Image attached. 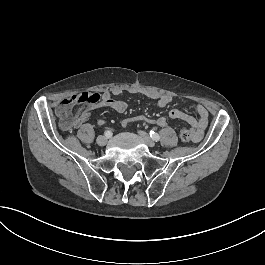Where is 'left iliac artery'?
<instances>
[{
	"mask_svg": "<svg viewBox=\"0 0 265 265\" xmlns=\"http://www.w3.org/2000/svg\"><path fill=\"white\" fill-rule=\"evenodd\" d=\"M149 134L154 141L157 142L160 140V136L158 135V133L154 132L153 130H151Z\"/></svg>",
	"mask_w": 265,
	"mask_h": 265,
	"instance_id": "obj_1",
	"label": "left iliac artery"
}]
</instances>
